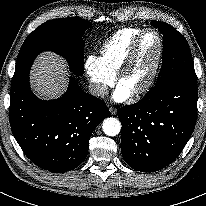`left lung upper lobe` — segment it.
<instances>
[{"label": "left lung upper lobe", "instance_id": "1", "mask_svg": "<svg viewBox=\"0 0 206 206\" xmlns=\"http://www.w3.org/2000/svg\"><path fill=\"white\" fill-rule=\"evenodd\" d=\"M151 24L163 34V59L156 84L147 94L175 83H197L192 55L184 36L165 22L152 21Z\"/></svg>", "mask_w": 206, "mask_h": 206}]
</instances>
